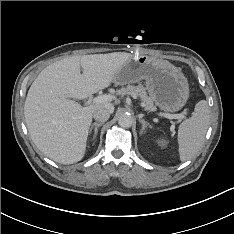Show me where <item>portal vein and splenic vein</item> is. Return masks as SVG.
Wrapping results in <instances>:
<instances>
[{
  "instance_id": "obj_1",
  "label": "portal vein and splenic vein",
  "mask_w": 234,
  "mask_h": 234,
  "mask_svg": "<svg viewBox=\"0 0 234 234\" xmlns=\"http://www.w3.org/2000/svg\"><path fill=\"white\" fill-rule=\"evenodd\" d=\"M134 98H136L135 96H133ZM115 99L114 95L111 94H105V95H100L96 98L93 99V103L95 104H101V103H107V102H111L112 100ZM165 117L170 118V119H177V118H184L183 115H173V114H164Z\"/></svg>"
}]
</instances>
